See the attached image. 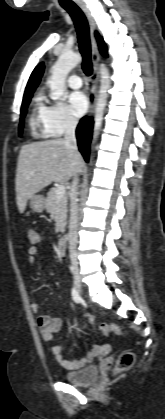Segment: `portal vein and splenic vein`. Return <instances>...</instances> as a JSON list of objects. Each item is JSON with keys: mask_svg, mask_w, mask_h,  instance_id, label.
Here are the masks:
<instances>
[{"mask_svg": "<svg viewBox=\"0 0 165 419\" xmlns=\"http://www.w3.org/2000/svg\"><path fill=\"white\" fill-rule=\"evenodd\" d=\"M64 194H65V186L64 185H59L56 188V196H57V198L60 199Z\"/></svg>", "mask_w": 165, "mask_h": 419, "instance_id": "18ae733b", "label": "portal vein and splenic vein"}]
</instances>
